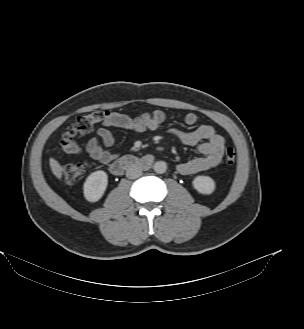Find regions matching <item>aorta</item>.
I'll return each instance as SVG.
<instances>
[{"instance_id": "1", "label": "aorta", "mask_w": 304, "mask_h": 329, "mask_svg": "<svg viewBox=\"0 0 304 329\" xmlns=\"http://www.w3.org/2000/svg\"><path fill=\"white\" fill-rule=\"evenodd\" d=\"M153 169L158 174H163L166 172L167 164L164 161H157L153 165Z\"/></svg>"}]
</instances>
